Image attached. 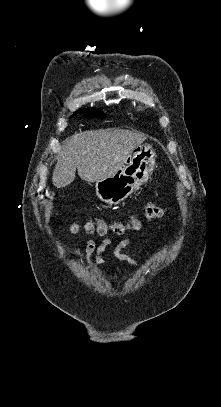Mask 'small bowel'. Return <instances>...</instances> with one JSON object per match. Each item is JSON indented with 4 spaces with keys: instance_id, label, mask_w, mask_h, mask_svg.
Here are the masks:
<instances>
[{
    "instance_id": "1",
    "label": "small bowel",
    "mask_w": 221,
    "mask_h": 407,
    "mask_svg": "<svg viewBox=\"0 0 221 407\" xmlns=\"http://www.w3.org/2000/svg\"><path fill=\"white\" fill-rule=\"evenodd\" d=\"M131 242L130 239H125L122 240L119 244L116 245L114 248V255L118 258L124 259L127 262H129L132 266H135L134 261L128 257L122 254V250ZM112 243L111 238H105L99 245H97L93 240H87L85 243V248H84V258L82 259V264L86 265L87 260L90 257H95L97 262L101 265L105 264L104 261V253L106 248ZM82 250L80 248H76L73 253H72V258L79 257L81 254ZM143 259L145 262L150 264V259L148 256L143 255Z\"/></svg>"
}]
</instances>
